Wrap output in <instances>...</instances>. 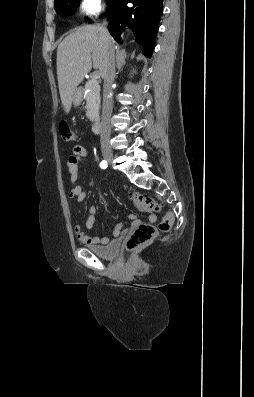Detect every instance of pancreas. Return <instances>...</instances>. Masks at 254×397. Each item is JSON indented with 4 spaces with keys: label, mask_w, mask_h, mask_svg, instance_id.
<instances>
[{
    "label": "pancreas",
    "mask_w": 254,
    "mask_h": 397,
    "mask_svg": "<svg viewBox=\"0 0 254 397\" xmlns=\"http://www.w3.org/2000/svg\"><path fill=\"white\" fill-rule=\"evenodd\" d=\"M87 112L86 116L93 122L99 115L100 108V86L96 80H89L84 88Z\"/></svg>",
    "instance_id": "1"
}]
</instances>
